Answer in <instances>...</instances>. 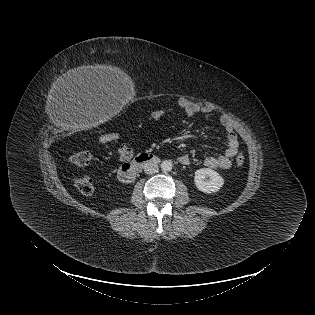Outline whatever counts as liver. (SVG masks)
<instances>
[{"label":"liver","instance_id":"liver-1","mask_svg":"<svg viewBox=\"0 0 315 315\" xmlns=\"http://www.w3.org/2000/svg\"><path fill=\"white\" fill-rule=\"evenodd\" d=\"M126 83L129 77L119 67L107 65L81 66L73 68L60 78L62 85L72 86L86 83Z\"/></svg>","mask_w":315,"mask_h":315}]
</instances>
